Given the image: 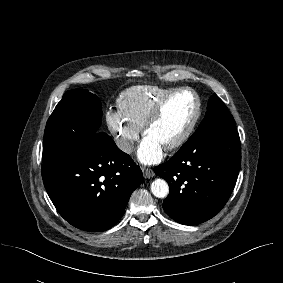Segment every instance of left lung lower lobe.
Returning a JSON list of instances; mask_svg holds the SVG:
<instances>
[{"label": "left lung lower lobe", "mask_w": 283, "mask_h": 283, "mask_svg": "<svg viewBox=\"0 0 283 283\" xmlns=\"http://www.w3.org/2000/svg\"><path fill=\"white\" fill-rule=\"evenodd\" d=\"M240 166L236 127L190 138L169 161L154 168L169 184L165 212L184 225L209 220L228 201Z\"/></svg>", "instance_id": "obj_1"}]
</instances>
